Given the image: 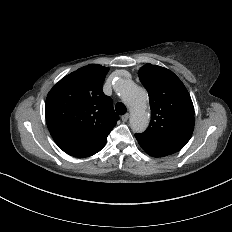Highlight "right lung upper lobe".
I'll list each match as a JSON object with an SVG mask.
<instances>
[{"label": "right lung upper lobe", "instance_id": "right-lung-upper-lobe-1", "mask_svg": "<svg viewBox=\"0 0 232 232\" xmlns=\"http://www.w3.org/2000/svg\"><path fill=\"white\" fill-rule=\"evenodd\" d=\"M109 68L92 64L61 79L45 103L47 127L67 154L88 157L99 152L119 120L102 87Z\"/></svg>", "mask_w": 232, "mask_h": 232}]
</instances>
